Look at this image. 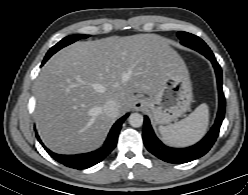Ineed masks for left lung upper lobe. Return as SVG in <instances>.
Here are the masks:
<instances>
[{"mask_svg": "<svg viewBox=\"0 0 248 195\" xmlns=\"http://www.w3.org/2000/svg\"><path fill=\"white\" fill-rule=\"evenodd\" d=\"M178 37L181 40V44L184 46L192 48L196 51H199V49H204L208 52H212L202 39L193 34L180 31L178 32Z\"/></svg>", "mask_w": 248, "mask_h": 195, "instance_id": "obj_1", "label": "left lung upper lobe"}]
</instances>
